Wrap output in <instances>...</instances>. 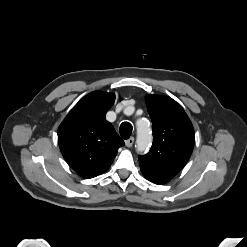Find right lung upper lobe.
<instances>
[{"mask_svg": "<svg viewBox=\"0 0 247 247\" xmlns=\"http://www.w3.org/2000/svg\"><path fill=\"white\" fill-rule=\"evenodd\" d=\"M113 93L94 91L84 96L58 129V143L69 166L83 178L106 171L125 143L106 120Z\"/></svg>", "mask_w": 247, "mask_h": 247, "instance_id": "cb5924a9", "label": "right lung upper lobe"}]
</instances>
